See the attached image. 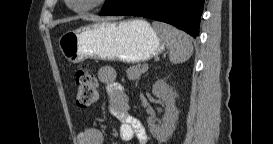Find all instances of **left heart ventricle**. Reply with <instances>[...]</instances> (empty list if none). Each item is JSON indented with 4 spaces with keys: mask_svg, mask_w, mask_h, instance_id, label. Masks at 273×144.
Returning <instances> with one entry per match:
<instances>
[{
    "mask_svg": "<svg viewBox=\"0 0 273 144\" xmlns=\"http://www.w3.org/2000/svg\"><path fill=\"white\" fill-rule=\"evenodd\" d=\"M91 0H72V4L76 7L87 5Z\"/></svg>",
    "mask_w": 273,
    "mask_h": 144,
    "instance_id": "b2bd125f",
    "label": "left heart ventricle"
}]
</instances>
